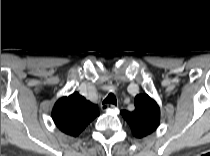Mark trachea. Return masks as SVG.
I'll use <instances>...</instances> for the list:
<instances>
[{"mask_svg":"<svg viewBox=\"0 0 210 156\" xmlns=\"http://www.w3.org/2000/svg\"><path fill=\"white\" fill-rule=\"evenodd\" d=\"M104 103H110V104H113V105H117V100H116V97L113 93H110L103 101V104Z\"/></svg>","mask_w":210,"mask_h":156,"instance_id":"obj_1","label":"trachea"}]
</instances>
